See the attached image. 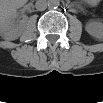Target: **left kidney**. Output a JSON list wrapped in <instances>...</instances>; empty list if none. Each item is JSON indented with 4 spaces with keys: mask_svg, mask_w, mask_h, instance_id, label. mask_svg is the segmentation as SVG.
I'll return each mask as SVG.
<instances>
[{
    "mask_svg": "<svg viewBox=\"0 0 103 103\" xmlns=\"http://www.w3.org/2000/svg\"><path fill=\"white\" fill-rule=\"evenodd\" d=\"M86 31L93 37L100 39L103 35L102 26H94L92 24H88L86 26Z\"/></svg>",
    "mask_w": 103,
    "mask_h": 103,
    "instance_id": "obj_1",
    "label": "left kidney"
}]
</instances>
